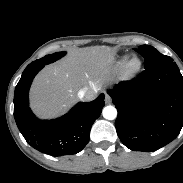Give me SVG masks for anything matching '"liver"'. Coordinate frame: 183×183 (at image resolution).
Here are the masks:
<instances>
[{
  "instance_id": "liver-1",
  "label": "liver",
  "mask_w": 183,
  "mask_h": 183,
  "mask_svg": "<svg viewBox=\"0 0 183 183\" xmlns=\"http://www.w3.org/2000/svg\"><path fill=\"white\" fill-rule=\"evenodd\" d=\"M114 62L110 48L86 47L46 66L35 78L31 107L41 118L64 113L84 88L100 90Z\"/></svg>"
}]
</instances>
